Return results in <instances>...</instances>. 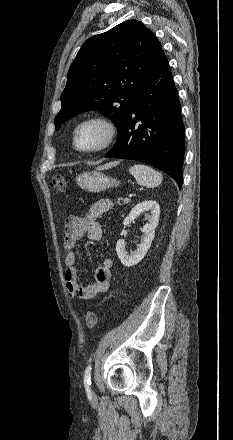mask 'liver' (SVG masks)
I'll list each match as a JSON object with an SVG mask.
<instances>
[{
    "mask_svg": "<svg viewBox=\"0 0 233 440\" xmlns=\"http://www.w3.org/2000/svg\"><path fill=\"white\" fill-rule=\"evenodd\" d=\"M110 166H111V164H107V165L105 166V168L110 167Z\"/></svg>",
    "mask_w": 233,
    "mask_h": 440,
    "instance_id": "obj_1",
    "label": "liver"
}]
</instances>
